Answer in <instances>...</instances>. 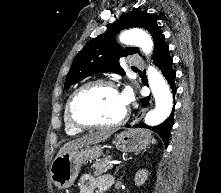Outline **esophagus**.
I'll return each instance as SVG.
<instances>
[{
    "label": "esophagus",
    "instance_id": "1",
    "mask_svg": "<svg viewBox=\"0 0 221 193\" xmlns=\"http://www.w3.org/2000/svg\"><path fill=\"white\" fill-rule=\"evenodd\" d=\"M145 112H146V108L141 109L132 123L133 124L138 123L144 116Z\"/></svg>",
    "mask_w": 221,
    "mask_h": 193
}]
</instances>
